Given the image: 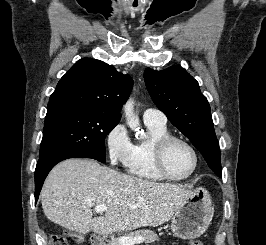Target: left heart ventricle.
<instances>
[{"label":"left heart ventricle","mask_w":266,"mask_h":245,"mask_svg":"<svg viewBox=\"0 0 266 245\" xmlns=\"http://www.w3.org/2000/svg\"><path fill=\"white\" fill-rule=\"evenodd\" d=\"M194 154L182 142H172L165 154V165L169 173L175 178L187 176L194 166Z\"/></svg>","instance_id":"b2bd125f"}]
</instances>
